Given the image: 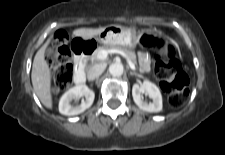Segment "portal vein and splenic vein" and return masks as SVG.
<instances>
[{
	"instance_id": "portal-vein-and-splenic-vein-1",
	"label": "portal vein and splenic vein",
	"mask_w": 225,
	"mask_h": 155,
	"mask_svg": "<svg viewBox=\"0 0 225 155\" xmlns=\"http://www.w3.org/2000/svg\"><path fill=\"white\" fill-rule=\"evenodd\" d=\"M114 53L120 54V55H122L123 57H125L126 60H127V63H128V65H129V67H130L132 70H135V64L128 58V56H127L123 51H121V50H119V49H115V48H114V49H109V50H101L100 52H98L97 58H98L99 60H105V59L107 58L108 54H114Z\"/></svg>"
}]
</instances>
